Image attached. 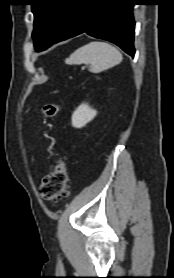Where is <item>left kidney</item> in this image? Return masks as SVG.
<instances>
[{"label": "left kidney", "instance_id": "1", "mask_svg": "<svg viewBox=\"0 0 174 278\" xmlns=\"http://www.w3.org/2000/svg\"><path fill=\"white\" fill-rule=\"evenodd\" d=\"M96 114V110L92 109L88 104L83 103L72 114V126L75 128H82L93 120Z\"/></svg>", "mask_w": 174, "mask_h": 278}]
</instances>
